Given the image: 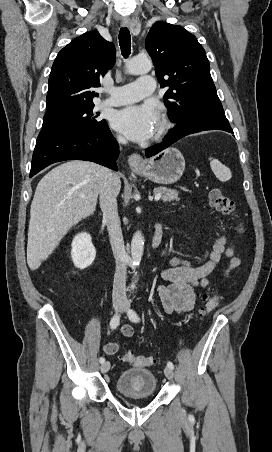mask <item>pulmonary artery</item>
<instances>
[{"instance_id":"pulmonary-artery-1","label":"pulmonary artery","mask_w":272,"mask_h":452,"mask_svg":"<svg viewBox=\"0 0 272 452\" xmlns=\"http://www.w3.org/2000/svg\"><path fill=\"white\" fill-rule=\"evenodd\" d=\"M155 80L147 76L135 82L128 83L108 90L110 97L104 101L107 106H121L139 101L154 93Z\"/></svg>"}]
</instances>
